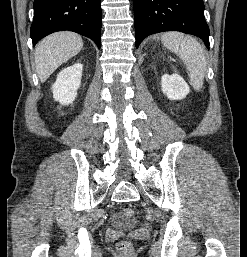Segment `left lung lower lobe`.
Masks as SVG:
<instances>
[{"instance_id": "obj_1", "label": "left lung lower lobe", "mask_w": 247, "mask_h": 257, "mask_svg": "<svg viewBox=\"0 0 247 257\" xmlns=\"http://www.w3.org/2000/svg\"><path fill=\"white\" fill-rule=\"evenodd\" d=\"M133 6L136 48L147 36L163 31L195 35L209 48L203 0H133Z\"/></svg>"}]
</instances>
